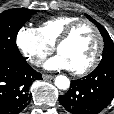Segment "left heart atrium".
<instances>
[{
    "instance_id": "left-heart-atrium-1",
    "label": "left heart atrium",
    "mask_w": 114,
    "mask_h": 114,
    "mask_svg": "<svg viewBox=\"0 0 114 114\" xmlns=\"http://www.w3.org/2000/svg\"><path fill=\"white\" fill-rule=\"evenodd\" d=\"M44 66L48 70L71 69L70 64L61 54L49 59Z\"/></svg>"
}]
</instances>
